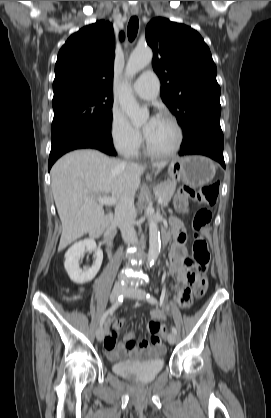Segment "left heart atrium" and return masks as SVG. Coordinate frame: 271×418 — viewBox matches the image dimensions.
<instances>
[{"label": "left heart atrium", "mask_w": 271, "mask_h": 418, "mask_svg": "<svg viewBox=\"0 0 271 418\" xmlns=\"http://www.w3.org/2000/svg\"><path fill=\"white\" fill-rule=\"evenodd\" d=\"M157 119H158V117L153 116V117L149 120L148 125H147V127L145 128V134H147V133L150 131V129H151V128L154 126V124L156 123Z\"/></svg>", "instance_id": "left-heart-atrium-1"}]
</instances>
